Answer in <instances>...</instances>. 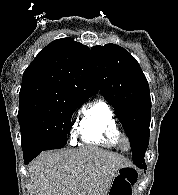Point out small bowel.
I'll return each mask as SVG.
<instances>
[{"instance_id": "c3829d8e", "label": "small bowel", "mask_w": 178, "mask_h": 195, "mask_svg": "<svg viewBox=\"0 0 178 195\" xmlns=\"http://www.w3.org/2000/svg\"><path fill=\"white\" fill-rule=\"evenodd\" d=\"M118 195H131V192L128 188H122L121 191L118 192Z\"/></svg>"}]
</instances>
